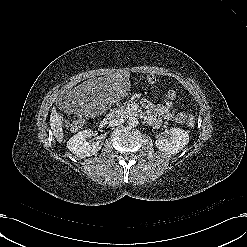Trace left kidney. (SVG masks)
<instances>
[{"instance_id": "left-kidney-1", "label": "left kidney", "mask_w": 247, "mask_h": 247, "mask_svg": "<svg viewBox=\"0 0 247 247\" xmlns=\"http://www.w3.org/2000/svg\"><path fill=\"white\" fill-rule=\"evenodd\" d=\"M168 134V137L159 136L155 141L156 147L162 152L177 154L189 143L188 132L181 128H171Z\"/></svg>"}]
</instances>
